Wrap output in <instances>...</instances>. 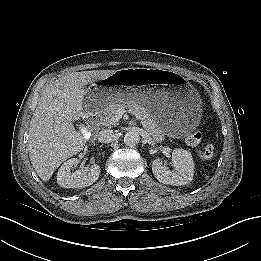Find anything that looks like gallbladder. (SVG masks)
<instances>
[{"instance_id": "1", "label": "gallbladder", "mask_w": 261, "mask_h": 261, "mask_svg": "<svg viewBox=\"0 0 261 261\" xmlns=\"http://www.w3.org/2000/svg\"><path fill=\"white\" fill-rule=\"evenodd\" d=\"M79 126H80L81 131L84 134V137L86 139H89L91 137V134L88 132V129L83 124H79Z\"/></svg>"}]
</instances>
